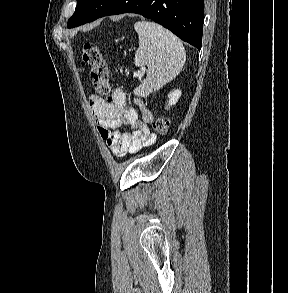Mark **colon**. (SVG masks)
I'll return each mask as SVG.
<instances>
[{
  "instance_id": "1",
  "label": "colon",
  "mask_w": 288,
  "mask_h": 293,
  "mask_svg": "<svg viewBox=\"0 0 288 293\" xmlns=\"http://www.w3.org/2000/svg\"><path fill=\"white\" fill-rule=\"evenodd\" d=\"M82 58L91 66L90 77L95 90L99 95L110 98V83L108 65L102 56L99 47L91 42H85L82 47ZM154 130L165 136L169 130V120L164 117L157 118L153 123Z\"/></svg>"
}]
</instances>
